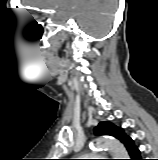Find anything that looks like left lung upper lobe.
I'll list each match as a JSON object with an SVG mask.
<instances>
[{
  "mask_svg": "<svg viewBox=\"0 0 158 160\" xmlns=\"http://www.w3.org/2000/svg\"><path fill=\"white\" fill-rule=\"evenodd\" d=\"M95 135H108L119 139L122 143L127 137L123 129L115 126L111 122H100L97 127L94 128Z\"/></svg>",
  "mask_w": 158,
  "mask_h": 160,
  "instance_id": "1",
  "label": "left lung upper lobe"
}]
</instances>
